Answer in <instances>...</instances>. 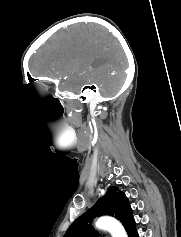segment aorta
Returning a JSON list of instances; mask_svg holds the SVG:
<instances>
[{
  "mask_svg": "<svg viewBox=\"0 0 181 237\" xmlns=\"http://www.w3.org/2000/svg\"><path fill=\"white\" fill-rule=\"evenodd\" d=\"M96 227L101 230H107L112 237H127L123 226L112 217H101L96 222Z\"/></svg>",
  "mask_w": 181,
  "mask_h": 237,
  "instance_id": "aorta-1",
  "label": "aorta"
}]
</instances>
